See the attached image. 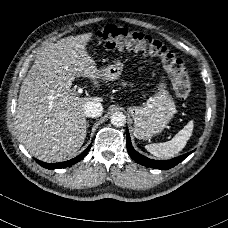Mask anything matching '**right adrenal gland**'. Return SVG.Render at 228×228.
I'll return each mask as SVG.
<instances>
[{
    "label": "right adrenal gland",
    "mask_w": 228,
    "mask_h": 228,
    "mask_svg": "<svg viewBox=\"0 0 228 228\" xmlns=\"http://www.w3.org/2000/svg\"><path fill=\"white\" fill-rule=\"evenodd\" d=\"M87 127H89V122L87 121Z\"/></svg>",
    "instance_id": "obj_1"
}]
</instances>
